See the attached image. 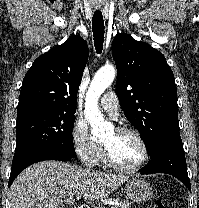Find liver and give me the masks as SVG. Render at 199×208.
<instances>
[{"label": "liver", "mask_w": 199, "mask_h": 208, "mask_svg": "<svg viewBox=\"0 0 199 208\" xmlns=\"http://www.w3.org/2000/svg\"><path fill=\"white\" fill-rule=\"evenodd\" d=\"M128 176L102 173L60 161H42L25 169L10 187L11 208H61L77 195L87 204L106 198Z\"/></svg>", "instance_id": "obj_1"}]
</instances>
